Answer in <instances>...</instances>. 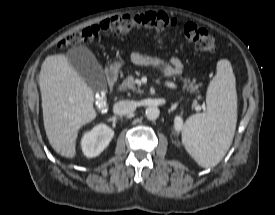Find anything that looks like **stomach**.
<instances>
[{"label":"stomach","mask_w":275,"mask_h":215,"mask_svg":"<svg viewBox=\"0 0 275 215\" xmlns=\"http://www.w3.org/2000/svg\"><path fill=\"white\" fill-rule=\"evenodd\" d=\"M122 66V62L115 61L108 67V73L115 74L117 73Z\"/></svg>","instance_id":"1"}]
</instances>
